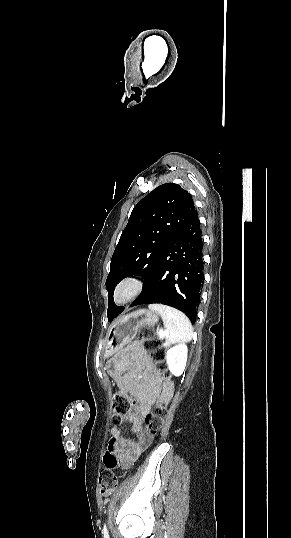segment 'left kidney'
I'll return each mask as SVG.
<instances>
[{"label": "left kidney", "mask_w": 291, "mask_h": 538, "mask_svg": "<svg viewBox=\"0 0 291 538\" xmlns=\"http://www.w3.org/2000/svg\"><path fill=\"white\" fill-rule=\"evenodd\" d=\"M187 345L180 343L169 348L166 352V361L168 369L175 376H180L186 366L187 362Z\"/></svg>", "instance_id": "left-kidney-1"}]
</instances>
